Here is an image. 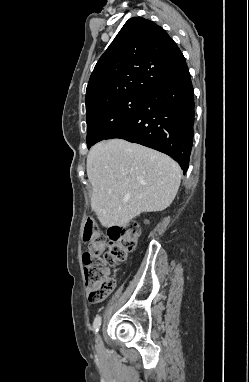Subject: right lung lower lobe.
<instances>
[{"label": "right lung lower lobe", "mask_w": 249, "mask_h": 382, "mask_svg": "<svg viewBox=\"0 0 249 382\" xmlns=\"http://www.w3.org/2000/svg\"><path fill=\"white\" fill-rule=\"evenodd\" d=\"M194 93L187 65L148 93L137 114L107 139L138 143L175 159L186 173L193 145Z\"/></svg>", "instance_id": "obj_1"}]
</instances>
